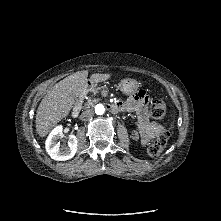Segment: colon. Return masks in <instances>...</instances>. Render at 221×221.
<instances>
[{
	"instance_id": "5ec220e1",
	"label": "colon",
	"mask_w": 221,
	"mask_h": 221,
	"mask_svg": "<svg viewBox=\"0 0 221 221\" xmlns=\"http://www.w3.org/2000/svg\"><path fill=\"white\" fill-rule=\"evenodd\" d=\"M167 113V106L162 100H153L150 103L148 114L153 119H163ZM170 133L167 129L163 128L157 137L152 141L148 148V154L151 157L159 156L164 150Z\"/></svg>"
}]
</instances>
